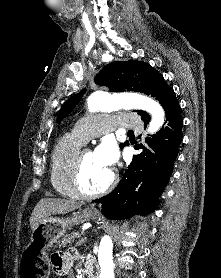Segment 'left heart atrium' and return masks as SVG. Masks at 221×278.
Instances as JSON below:
<instances>
[{
  "instance_id": "39dd6f15",
  "label": "left heart atrium",
  "mask_w": 221,
  "mask_h": 278,
  "mask_svg": "<svg viewBox=\"0 0 221 278\" xmlns=\"http://www.w3.org/2000/svg\"><path fill=\"white\" fill-rule=\"evenodd\" d=\"M96 158L106 167H111L116 160V148L110 142L102 143L94 152Z\"/></svg>"
}]
</instances>
